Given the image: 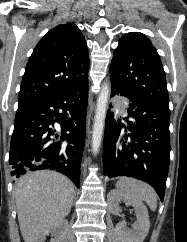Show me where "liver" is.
Instances as JSON below:
<instances>
[{"instance_id":"obj_1","label":"liver","mask_w":187,"mask_h":242,"mask_svg":"<svg viewBox=\"0 0 187 242\" xmlns=\"http://www.w3.org/2000/svg\"><path fill=\"white\" fill-rule=\"evenodd\" d=\"M75 194L72 182L54 171H36L15 186L18 221L25 242L37 237L66 217Z\"/></svg>"}]
</instances>
